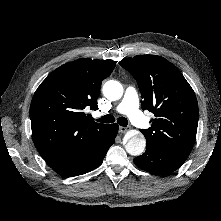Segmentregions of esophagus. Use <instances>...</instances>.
Segmentation results:
<instances>
[{
	"label": "esophagus",
	"instance_id": "obj_1",
	"mask_svg": "<svg viewBox=\"0 0 221 221\" xmlns=\"http://www.w3.org/2000/svg\"><path fill=\"white\" fill-rule=\"evenodd\" d=\"M127 130H128L127 127H123V126L119 127V132L120 133H125Z\"/></svg>",
	"mask_w": 221,
	"mask_h": 221
}]
</instances>
